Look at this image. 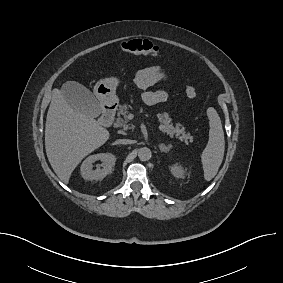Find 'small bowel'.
Wrapping results in <instances>:
<instances>
[{"instance_id": "obj_1", "label": "small bowel", "mask_w": 283, "mask_h": 283, "mask_svg": "<svg viewBox=\"0 0 283 283\" xmlns=\"http://www.w3.org/2000/svg\"><path fill=\"white\" fill-rule=\"evenodd\" d=\"M169 78V73L165 68L155 65L138 70L133 76V82L139 89L143 90V101L148 105H155L165 102L168 94L164 91L148 89L159 82L169 80Z\"/></svg>"}]
</instances>
